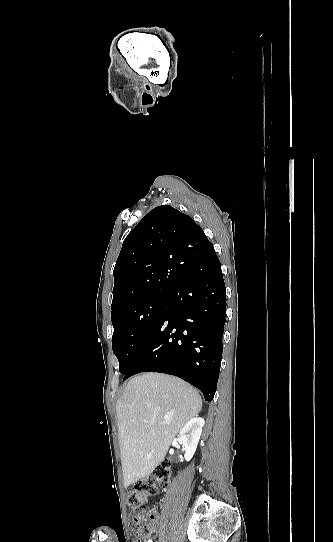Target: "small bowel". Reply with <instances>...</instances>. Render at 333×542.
<instances>
[{
  "label": "small bowel",
  "mask_w": 333,
  "mask_h": 542,
  "mask_svg": "<svg viewBox=\"0 0 333 542\" xmlns=\"http://www.w3.org/2000/svg\"><path fill=\"white\" fill-rule=\"evenodd\" d=\"M158 533H159L158 530L155 529V530H153V532L150 534V537H151L152 539H155V538L157 537Z\"/></svg>",
  "instance_id": "c3829d8e"
}]
</instances>
